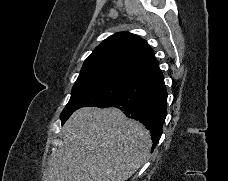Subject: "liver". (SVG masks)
Masks as SVG:
<instances>
[{
    "instance_id": "obj_1",
    "label": "liver",
    "mask_w": 228,
    "mask_h": 181,
    "mask_svg": "<svg viewBox=\"0 0 228 181\" xmlns=\"http://www.w3.org/2000/svg\"><path fill=\"white\" fill-rule=\"evenodd\" d=\"M62 135L46 181H128L152 147L149 131L115 107L78 109Z\"/></svg>"
}]
</instances>
